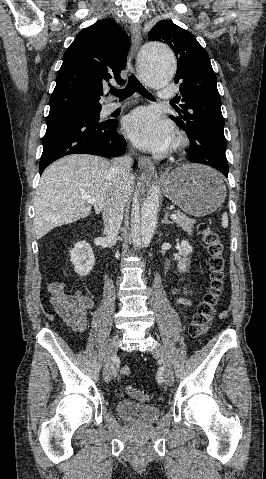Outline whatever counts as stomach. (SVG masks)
Wrapping results in <instances>:
<instances>
[{"label":"stomach","mask_w":266,"mask_h":479,"mask_svg":"<svg viewBox=\"0 0 266 479\" xmlns=\"http://www.w3.org/2000/svg\"><path fill=\"white\" fill-rule=\"evenodd\" d=\"M165 196L189 215L206 216L224 201L226 187L221 175L204 165H183L163 182Z\"/></svg>","instance_id":"1"}]
</instances>
